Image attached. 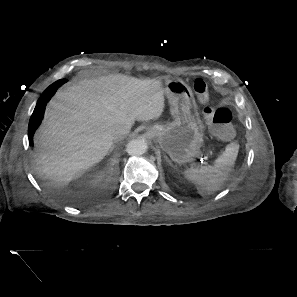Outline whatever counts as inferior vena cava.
I'll return each instance as SVG.
<instances>
[{
	"mask_svg": "<svg viewBox=\"0 0 297 297\" xmlns=\"http://www.w3.org/2000/svg\"><path fill=\"white\" fill-rule=\"evenodd\" d=\"M130 132V126L128 125H118L113 128V135L116 139L127 135Z\"/></svg>",
	"mask_w": 297,
	"mask_h": 297,
	"instance_id": "1",
	"label": "inferior vena cava"
}]
</instances>
